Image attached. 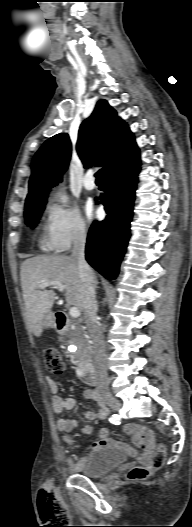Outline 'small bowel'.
Wrapping results in <instances>:
<instances>
[{"instance_id": "small-bowel-1", "label": "small bowel", "mask_w": 192, "mask_h": 527, "mask_svg": "<svg viewBox=\"0 0 192 527\" xmlns=\"http://www.w3.org/2000/svg\"><path fill=\"white\" fill-rule=\"evenodd\" d=\"M46 382L52 394V407L56 414H61L64 411L71 410L75 407V399L72 397L61 396L58 390V384L52 377L48 376L46 378ZM84 397L92 400L97 405L96 411L86 412L85 416L87 419H104L107 416L108 410L96 389H86L84 391ZM77 426L78 422L75 419L59 418L57 420V428L60 432H71ZM93 431L94 427L92 425H84L81 428V432L85 435H90L93 433ZM124 432L130 435L134 445L141 449V452L138 454V459L142 462L141 466L146 468L148 466L147 462L150 460L155 448V439L152 431L137 424H128L124 426ZM94 445L113 446L127 451L130 454H137L136 449L109 437L108 431L105 429L101 430L100 440Z\"/></svg>"}]
</instances>
